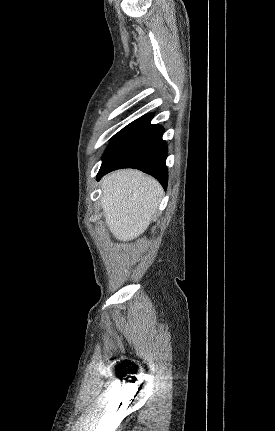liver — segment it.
Returning <instances> with one entry per match:
<instances>
[{"mask_svg": "<svg viewBox=\"0 0 275 431\" xmlns=\"http://www.w3.org/2000/svg\"><path fill=\"white\" fill-rule=\"evenodd\" d=\"M101 207L113 236L130 241L148 228L163 195L154 178L138 170L112 172L101 181Z\"/></svg>", "mask_w": 275, "mask_h": 431, "instance_id": "obj_1", "label": "liver"}]
</instances>
